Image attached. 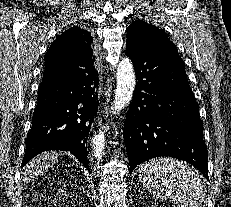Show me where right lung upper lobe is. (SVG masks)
Listing matches in <instances>:
<instances>
[{"label":"right lung upper lobe","mask_w":231,"mask_h":207,"mask_svg":"<svg viewBox=\"0 0 231 207\" xmlns=\"http://www.w3.org/2000/svg\"><path fill=\"white\" fill-rule=\"evenodd\" d=\"M91 34L79 27H71L59 35L45 55V69L72 71L93 56ZM85 66V65H84Z\"/></svg>","instance_id":"cb5924a9"}]
</instances>
